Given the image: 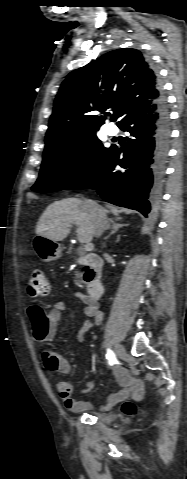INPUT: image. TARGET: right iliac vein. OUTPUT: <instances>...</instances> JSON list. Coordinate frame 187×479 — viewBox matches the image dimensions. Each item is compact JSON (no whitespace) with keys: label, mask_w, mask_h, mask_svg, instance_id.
I'll return each mask as SVG.
<instances>
[{"label":"right iliac vein","mask_w":187,"mask_h":479,"mask_svg":"<svg viewBox=\"0 0 187 479\" xmlns=\"http://www.w3.org/2000/svg\"><path fill=\"white\" fill-rule=\"evenodd\" d=\"M115 353L120 358H123L126 355V351L124 347L120 344L115 345Z\"/></svg>","instance_id":"1"}]
</instances>
